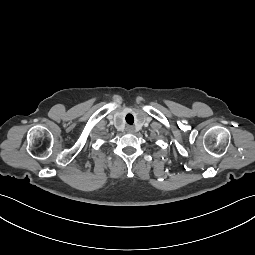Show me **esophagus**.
I'll use <instances>...</instances> for the list:
<instances>
[{"label":"esophagus","instance_id":"1","mask_svg":"<svg viewBox=\"0 0 255 255\" xmlns=\"http://www.w3.org/2000/svg\"><path fill=\"white\" fill-rule=\"evenodd\" d=\"M127 131H128L129 133H133V132H134V127H133V126H128V127H127Z\"/></svg>","mask_w":255,"mask_h":255}]
</instances>
